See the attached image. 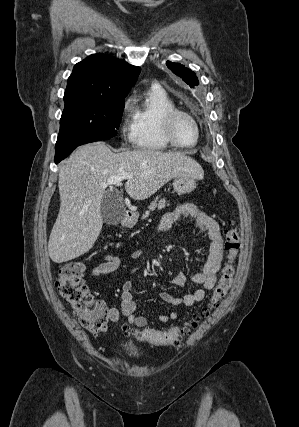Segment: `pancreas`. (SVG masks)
<instances>
[{"instance_id":"cf45deb5","label":"pancreas","mask_w":299,"mask_h":427,"mask_svg":"<svg viewBox=\"0 0 299 427\" xmlns=\"http://www.w3.org/2000/svg\"><path fill=\"white\" fill-rule=\"evenodd\" d=\"M166 206H169V204H166V200L160 199L158 200V198H156L151 204L150 206H148V210L145 211V213L142 216V219H145L149 216L151 211H154L156 208H158L159 210H162L164 208H166Z\"/></svg>"}]
</instances>
